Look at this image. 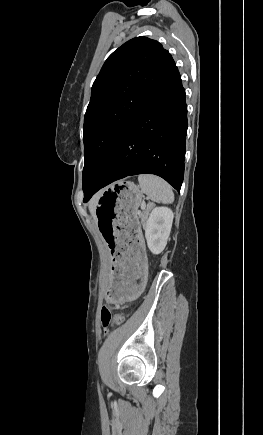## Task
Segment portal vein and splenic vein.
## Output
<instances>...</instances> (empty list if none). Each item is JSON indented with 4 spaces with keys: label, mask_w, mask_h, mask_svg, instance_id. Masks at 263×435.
Returning a JSON list of instances; mask_svg holds the SVG:
<instances>
[{
    "label": "portal vein and splenic vein",
    "mask_w": 263,
    "mask_h": 435,
    "mask_svg": "<svg viewBox=\"0 0 263 435\" xmlns=\"http://www.w3.org/2000/svg\"><path fill=\"white\" fill-rule=\"evenodd\" d=\"M141 209L144 210L145 209V204L141 205Z\"/></svg>",
    "instance_id": "18ae733b"
}]
</instances>
